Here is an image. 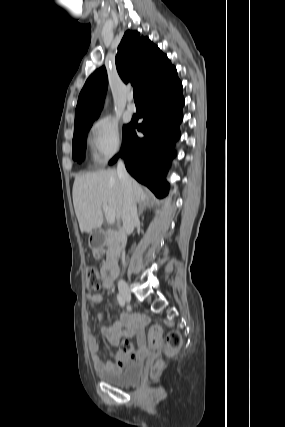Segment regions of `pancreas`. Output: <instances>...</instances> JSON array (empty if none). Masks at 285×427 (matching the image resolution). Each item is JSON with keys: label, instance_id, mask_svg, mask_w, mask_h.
Returning a JSON list of instances; mask_svg holds the SVG:
<instances>
[{"label": "pancreas", "instance_id": "cf45deb5", "mask_svg": "<svg viewBox=\"0 0 285 427\" xmlns=\"http://www.w3.org/2000/svg\"><path fill=\"white\" fill-rule=\"evenodd\" d=\"M120 233L115 230H107L106 232V245L108 246L107 255L110 256L112 248L120 247Z\"/></svg>", "mask_w": 285, "mask_h": 427}]
</instances>
